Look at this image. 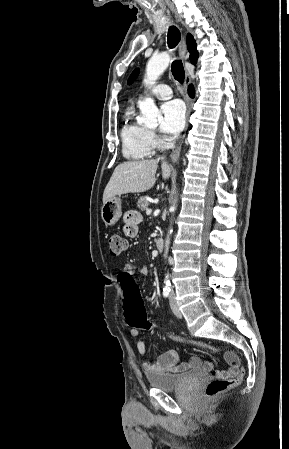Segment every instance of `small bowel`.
Segmentation results:
<instances>
[{
	"instance_id": "obj_1",
	"label": "small bowel",
	"mask_w": 289,
	"mask_h": 449,
	"mask_svg": "<svg viewBox=\"0 0 289 449\" xmlns=\"http://www.w3.org/2000/svg\"><path fill=\"white\" fill-rule=\"evenodd\" d=\"M141 219H142L141 215L136 211H128L125 213L123 232L127 237L135 238L137 236L138 225L141 222ZM122 271H131L133 276L135 267L132 264H126ZM141 272L147 273V269L142 268ZM131 335L132 337L137 339V350L139 354L144 356L146 354V345L145 342L140 338V331L137 329H132ZM224 357L229 367L225 370H218L214 372L223 377L236 376L240 371L241 365L238 355L232 351H226ZM200 368L212 370L213 363L206 362L203 365L200 358L195 356L191 357L185 362L178 363V354L174 350H169L161 354L155 362L145 360L142 363V369L146 374H156L165 372L178 373L187 369H200Z\"/></svg>"
}]
</instances>
